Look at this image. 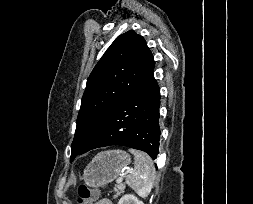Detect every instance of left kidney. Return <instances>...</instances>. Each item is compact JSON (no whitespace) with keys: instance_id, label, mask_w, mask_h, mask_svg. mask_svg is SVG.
<instances>
[{"instance_id":"obj_1","label":"left kidney","mask_w":253,"mask_h":204,"mask_svg":"<svg viewBox=\"0 0 253 204\" xmlns=\"http://www.w3.org/2000/svg\"><path fill=\"white\" fill-rule=\"evenodd\" d=\"M118 204H144L136 196L132 194H126L119 200Z\"/></svg>"}]
</instances>
